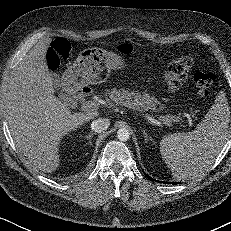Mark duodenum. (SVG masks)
<instances>
[{"instance_id": "obj_1", "label": "duodenum", "mask_w": 231, "mask_h": 231, "mask_svg": "<svg viewBox=\"0 0 231 231\" xmlns=\"http://www.w3.org/2000/svg\"><path fill=\"white\" fill-rule=\"evenodd\" d=\"M64 99L70 105L84 102L92 93V89L85 84H76L71 78L63 81Z\"/></svg>"}]
</instances>
